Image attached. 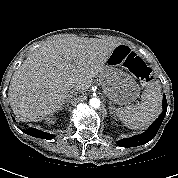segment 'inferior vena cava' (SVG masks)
Wrapping results in <instances>:
<instances>
[{"instance_id": "inferior-vena-cava-1", "label": "inferior vena cava", "mask_w": 178, "mask_h": 178, "mask_svg": "<svg viewBox=\"0 0 178 178\" xmlns=\"http://www.w3.org/2000/svg\"><path fill=\"white\" fill-rule=\"evenodd\" d=\"M77 93H79V91L76 90V89H73V90L71 91V96H72V95H76Z\"/></svg>"}]
</instances>
